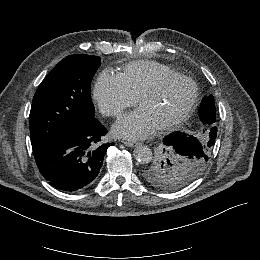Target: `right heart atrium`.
I'll use <instances>...</instances> for the list:
<instances>
[{
  "label": "right heart atrium",
  "mask_w": 260,
  "mask_h": 260,
  "mask_svg": "<svg viewBox=\"0 0 260 260\" xmlns=\"http://www.w3.org/2000/svg\"><path fill=\"white\" fill-rule=\"evenodd\" d=\"M94 99L101 113L111 118L119 117L135 103L120 76L110 70H104L98 75L94 86Z\"/></svg>",
  "instance_id": "obj_1"
}]
</instances>
